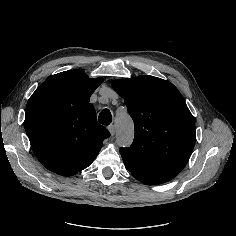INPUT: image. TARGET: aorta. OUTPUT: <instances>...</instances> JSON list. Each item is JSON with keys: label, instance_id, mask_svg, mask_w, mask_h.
Returning a JSON list of instances; mask_svg holds the SVG:
<instances>
[{"label": "aorta", "instance_id": "obj_1", "mask_svg": "<svg viewBox=\"0 0 236 236\" xmlns=\"http://www.w3.org/2000/svg\"><path fill=\"white\" fill-rule=\"evenodd\" d=\"M116 142L119 146L128 147L134 137V125L128 114L117 116L116 121Z\"/></svg>", "mask_w": 236, "mask_h": 236}]
</instances>
